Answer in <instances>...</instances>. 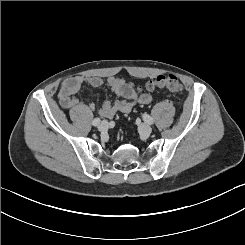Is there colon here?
<instances>
[{
  "instance_id": "obj_1",
  "label": "colon",
  "mask_w": 245,
  "mask_h": 245,
  "mask_svg": "<svg viewBox=\"0 0 245 245\" xmlns=\"http://www.w3.org/2000/svg\"><path fill=\"white\" fill-rule=\"evenodd\" d=\"M147 90H154L156 88L167 89L171 92H180L182 85L178 79L173 74H161L150 80L146 84Z\"/></svg>"
}]
</instances>
